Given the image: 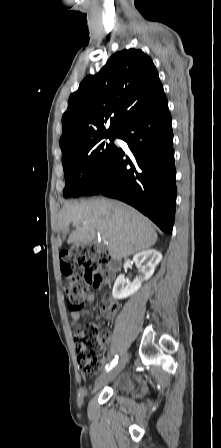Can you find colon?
<instances>
[{
	"label": "colon",
	"mask_w": 221,
	"mask_h": 448,
	"mask_svg": "<svg viewBox=\"0 0 221 448\" xmlns=\"http://www.w3.org/2000/svg\"><path fill=\"white\" fill-rule=\"evenodd\" d=\"M110 255L94 244H76L60 256L61 271L66 277L65 294L70 310H80L90 287H97L108 277ZM106 336L100 335V325L89 322L75 334L78 361L86 374L97 373L104 361Z\"/></svg>",
	"instance_id": "5ec220e1"
}]
</instances>
